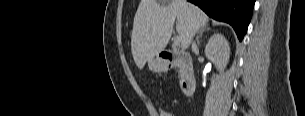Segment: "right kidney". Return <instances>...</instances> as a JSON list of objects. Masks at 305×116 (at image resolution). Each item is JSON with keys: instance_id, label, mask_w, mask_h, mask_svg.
<instances>
[{"instance_id": "ca27d5eb", "label": "right kidney", "mask_w": 305, "mask_h": 116, "mask_svg": "<svg viewBox=\"0 0 305 116\" xmlns=\"http://www.w3.org/2000/svg\"><path fill=\"white\" fill-rule=\"evenodd\" d=\"M206 57L213 62L216 68L222 72L226 68L230 58L229 43L222 34H214L205 47ZM206 82V76H203Z\"/></svg>"}]
</instances>
